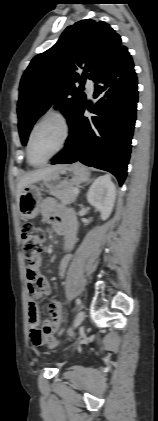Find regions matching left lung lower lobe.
<instances>
[{"mask_svg":"<svg viewBox=\"0 0 158 421\" xmlns=\"http://www.w3.org/2000/svg\"><path fill=\"white\" fill-rule=\"evenodd\" d=\"M95 106L86 101L70 127L64 150L52 164L81 163L108 171L122 185L127 175L138 100L137 77L127 48L122 46L95 77ZM85 108L94 114L83 116Z\"/></svg>","mask_w":158,"mask_h":421,"instance_id":"0a47b994","label":"left lung lower lobe"}]
</instances>
